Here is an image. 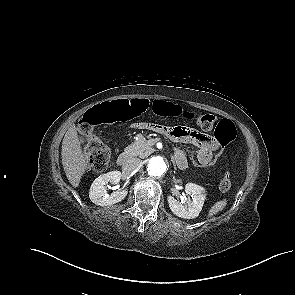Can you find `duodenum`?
I'll return each mask as SVG.
<instances>
[{"mask_svg": "<svg viewBox=\"0 0 295 295\" xmlns=\"http://www.w3.org/2000/svg\"><path fill=\"white\" fill-rule=\"evenodd\" d=\"M130 160V155L127 152H122L117 157V164L119 166L125 165Z\"/></svg>", "mask_w": 295, "mask_h": 295, "instance_id": "obj_1", "label": "duodenum"}]
</instances>
